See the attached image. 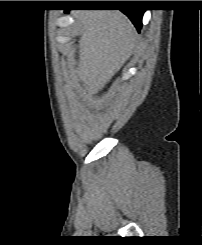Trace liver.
Masks as SVG:
<instances>
[{"instance_id":"liver-1","label":"liver","mask_w":202,"mask_h":245,"mask_svg":"<svg viewBox=\"0 0 202 245\" xmlns=\"http://www.w3.org/2000/svg\"><path fill=\"white\" fill-rule=\"evenodd\" d=\"M82 26L78 75L90 93L103 89L132 55L136 32L118 11L88 10L74 14Z\"/></svg>"}]
</instances>
